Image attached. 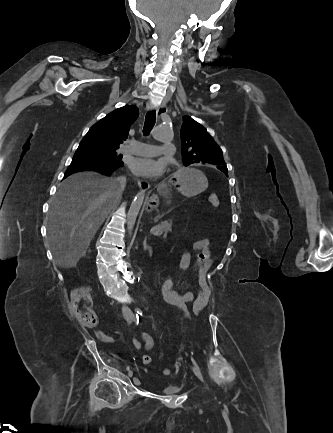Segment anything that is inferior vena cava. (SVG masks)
I'll return each instance as SVG.
<instances>
[{"label": "inferior vena cava", "instance_id": "inferior-vena-cava-1", "mask_svg": "<svg viewBox=\"0 0 333 433\" xmlns=\"http://www.w3.org/2000/svg\"><path fill=\"white\" fill-rule=\"evenodd\" d=\"M126 186V178L124 176L116 179V189L119 194H121ZM123 315L127 322H132L134 320V314L128 307L123 308Z\"/></svg>", "mask_w": 333, "mask_h": 433}]
</instances>
